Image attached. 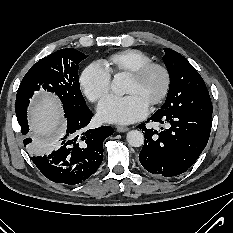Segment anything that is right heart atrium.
<instances>
[{"mask_svg": "<svg viewBox=\"0 0 233 233\" xmlns=\"http://www.w3.org/2000/svg\"><path fill=\"white\" fill-rule=\"evenodd\" d=\"M79 84L84 95L97 102L110 91L111 73L99 62H93L82 71Z\"/></svg>", "mask_w": 233, "mask_h": 233, "instance_id": "d8ad5b80", "label": "right heart atrium"}]
</instances>
